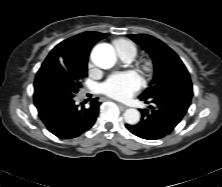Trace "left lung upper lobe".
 <instances>
[{"mask_svg":"<svg viewBox=\"0 0 222 187\" xmlns=\"http://www.w3.org/2000/svg\"><path fill=\"white\" fill-rule=\"evenodd\" d=\"M129 37L150 55L154 64L153 80L139 98L152 99L166 90L177 92L185 85H192L186 67L165 43L147 34H130Z\"/></svg>","mask_w":222,"mask_h":187,"instance_id":"1","label":"left lung upper lobe"}]
</instances>
